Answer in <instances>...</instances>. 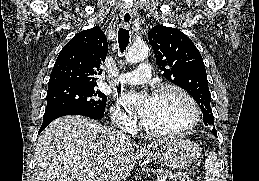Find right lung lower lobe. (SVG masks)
I'll list each match as a JSON object with an SVG mask.
<instances>
[{"instance_id": "1", "label": "right lung lower lobe", "mask_w": 259, "mask_h": 181, "mask_svg": "<svg viewBox=\"0 0 259 181\" xmlns=\"http://www.w3.org/2000/svg\"><path fill=\"white\" fill-rule=\"evenodd\" d=\"M66 115H82V116L90 117L92 119L99 120L104 117V112L98 113V112L89 111V110H85V109H78V108L65 109V110H62V111L54 114L53 116L43 119V123H42L41 128L39 129L38 133H41L48 126V124H50L53 120H55L59 117H62V116H66Z\"/></svg>"}]
</instances>
